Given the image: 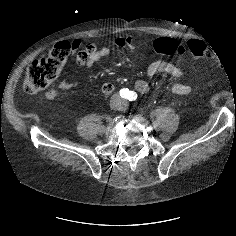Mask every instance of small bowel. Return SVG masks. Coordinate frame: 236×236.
<instances>
[{
    "mask_svg": "<svg viewBox=\"0 0 236 236\" xmlns=\"http://www.w3.org/2000/svg\"><path fill=\"white\" fill-rule=\"evenodd\" d=\"M114 45L119 49H133L136 46V39L134 36L117 37L114 41ZM71 46L77 51L76 63L89 70L93 69L96 62L100 59L111 54V49L109 47L99 48L95 43L84 45L79 39H74L71 42ZM159 74H168L181 80L187 79L186 73L178 66L165 61H155L149 64L146 69L148 80H136L134 83L135 89L140 93H147L150 90L151 83L156 81V77ZM59 86L63 90H71L77 88L79 83L64 79L60 82ZM101 90L106 95L111 94L114 90V85L110 82H105L102 85ZM170 90L172 93L177 95H187L190 93L191 87L187 83L176 82L170 86ZM45 96L48 100H56L59 97V92L55 89H50L46 92Z\"/></svg>",
    "mask_w": 236,
    "mask_h": 236,
    "instance_id": "obj_1",
    "label": "small bowel"
}]
</instances>
